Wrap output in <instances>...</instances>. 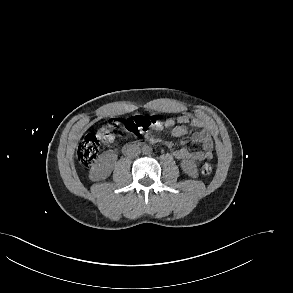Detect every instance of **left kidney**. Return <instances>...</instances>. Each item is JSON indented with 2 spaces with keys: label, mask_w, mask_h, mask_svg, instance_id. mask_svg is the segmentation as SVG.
<instances>
[{
  "label": "left kidney",
  "mask_w": 293,
  "mask_h": 293,
  "mask_svg": "<svg viewBox=\"0 0 293 293\" xmlns=\"http://www.w3.org/2000/svg\"><path fill=\"white\" fill-rule=\"evenodd\" d=\"M181 167L189 176L196 177L198 174L197 166L193 161H183Z\"/></svg>",
  "instance_id": "5707ae66"
}]
</instances>
